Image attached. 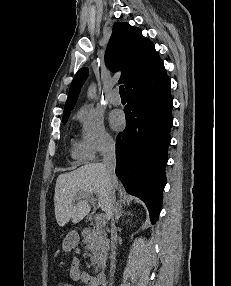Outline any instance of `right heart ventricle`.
I'll return each mask as SVG.
<instances>
[{"label": "right heart ventricle", "mask_w": 231, "mask_h": 286, "mask_svg": "<svg viewBox=\"0 0 231 286\" xmlns=\"http://www.w3.org/2000/svg\"><path fill=\"white\" fill-rule=\"evenodd\" d=\"M71 156L79 162H86L93 158V154L86 147L83 141L73 139L71 142Z\"/></svg>", "instance_id": "1"}]
</instances>
